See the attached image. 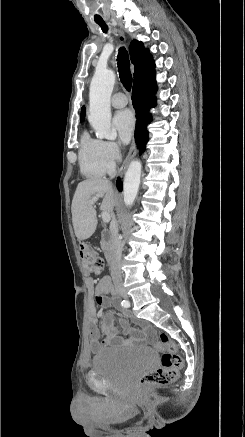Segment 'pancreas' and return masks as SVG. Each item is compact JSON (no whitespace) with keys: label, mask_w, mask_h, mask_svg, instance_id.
Returning <instances> with one entry per match:
<instances>
[{"label":"pancreas","mask_w":245,"mask_h":437,"mask_svg":"<svg viewBox=\"0 0 245 437\" xmlns=\"http://www.w3.org/2000/svg\"><path fill=\"white\" fill-rule=\"evenodd\" d=\"M101 246L104 248L106 246V243L104 241H102Z\"/></svg>","instance_id":"1"}]
</instances>
